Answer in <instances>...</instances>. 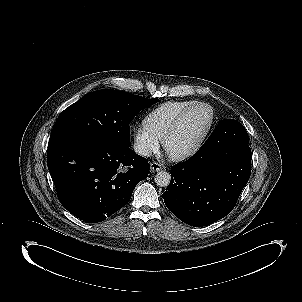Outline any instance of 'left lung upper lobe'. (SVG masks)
Masks as SVG:
<instances>
[{"instance_id": "left-lung-upper-lobe-1", "label": "left lung upper lobe", "mask_w": 302, "mask_h": 302, "mask_svg": "<svg viewBox=\"0 0 302 302\" xmlns=\"http://www.w3.org/2000/svg\"><path fill=\"white\" fill-rule=\"evenodd\" d=\"M249 136L245 128L237 121L228 119L221 122L201 148L212 147L217 151L229 152L248 146Z\"/></svg>"}]
</instances>
